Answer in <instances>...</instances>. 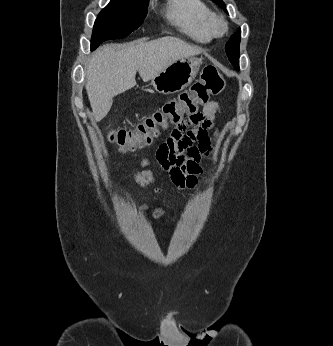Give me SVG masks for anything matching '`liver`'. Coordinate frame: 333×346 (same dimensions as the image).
I'll use <instances>...</instances> for the list:
<instances>
[{
	"label": "liver",
	"mask_w": 333,
	"mask_h": 346,
	"mask_svg": "<svg viewBox=\"0 0 333 346\" xmlns=\"http://www.w3.org/2000/svg\"><path fill=\"white\" fill-rule=\"evenodd\" d=\"M201 49L175 37L107 44L99 47L86 68V91L95 120L101 121L112 107L115 95L136 85L138 71L144 82L182 58L198 55Z\"/></svg>",
	"instance_id": "obj_1"
}]
</instances>
